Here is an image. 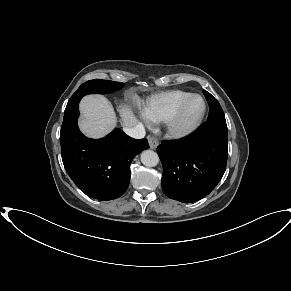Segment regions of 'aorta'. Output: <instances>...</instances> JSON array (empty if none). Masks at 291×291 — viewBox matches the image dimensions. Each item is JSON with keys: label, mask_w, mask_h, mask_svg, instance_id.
I'll use <instances>...</instances> for the list:
<instances>
[{"label": "aorta", "mask_w": 291, "mask_h": 291, "mask_svg": "<svg viewBox=\"0 0 291 291\" xmlns=\"http://www.w3.org/2000/svg\"><path fill=\"white\" fill-rule=\"evenodd\" d=\"M141 162L148 167H154L159 163L158 154L152 150H145L141 153Z\"/></svg>", "instance_id": "762f6f07"}]
</instances>
